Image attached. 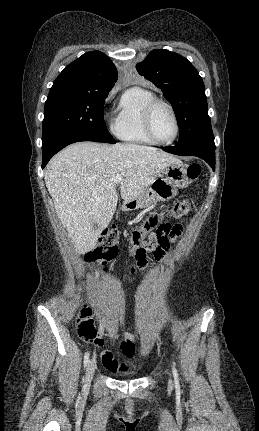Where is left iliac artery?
<instances>
[{"label":"left iliac artery","instance_id":"44dca946","mask_svg":"<svg viewBox=\"0 0 259 431\" xmlns=\"http://www.w3.org/2000/svg\"><path fill=\"white\" fill-rule=\"evenodd\" d=\"M172 372H173V375H174L175 382H178L179 381L178 373H177V370H176V368H175L174 365L172 366Z\"/></svg>","mask_w":259,"mask_h":431}]
</instances>
